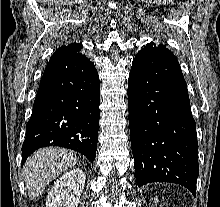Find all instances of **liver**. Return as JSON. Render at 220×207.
Returning a JSON list of instances; mask_svg holds the SVG:
<instances>
[{
    "label": "liver",
    "mask_w": 220,
    "mask_h": 207,
    "mask_svg": "<svg viewBox=\"0 0 220 207\" xmlns=\"http://www.w3.org/2000/svg\"><path fill=\"white\" fill-rule=\"evenodd\" d=\"M77 163V156L64 148L47 147L34 152L26 160L22 176L30 199L41 195L57 176Z\"/></svg>",
    "instance_id": "obj_1"
}]
</instances>
